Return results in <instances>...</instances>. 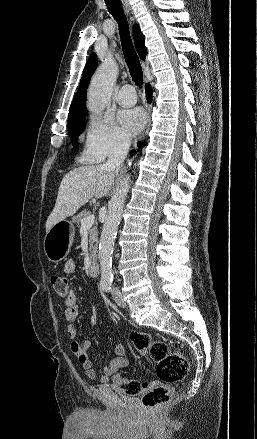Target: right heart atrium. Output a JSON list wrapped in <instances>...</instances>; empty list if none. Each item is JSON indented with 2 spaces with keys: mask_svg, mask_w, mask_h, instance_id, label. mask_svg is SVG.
I'll use <instances>...</instances> for the list:
<instances>
[{
  "mask_svg": "<svg viewBox=\"0 0 257 439\" xmlns=\"http://www.w3.org/2000/svg\"><path fill=\"white\" fill-rule=\"evenodd\" d=\"M127 145L126 134L112 118L93 116L84 130L81 158L86 162L99 163L122 153Z\"/></svg>",
  "mask_w": 257,
  "mask_h": 439,
  "instance_id": "1",
  "label": "right heart atrium"
}]
</instances>
